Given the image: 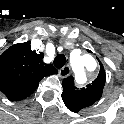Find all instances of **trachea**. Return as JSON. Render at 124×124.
Instances as JSON below:
<instances>
[{
    "label": "trachea",
    "mask_w": 124,
    "mask_h": 124,
    "mask_svg": "<svg viewBox=\"0 0 124 124\" xmlns=\"http://www.w3.org/2000/svg\"><path fill=\"white\" fill-rule=\"evenodd\" d=\"M53 63L56 68H62L66 63L65 55L64 54L57 55Z\"/></svg>",
    "instance_id": "trachea-1"
}]
</instances>
